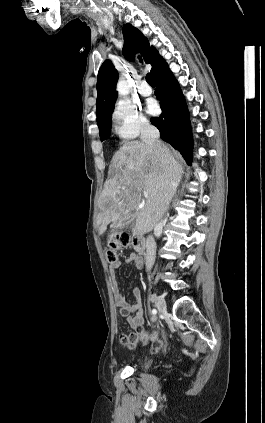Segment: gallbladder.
Returning a JSON list of instances; mask_svg holds the SVG:
<instances>
[{
    "label": "gallbladder",
    "instance_id": "gallbladder-1",
    "mask_svg": "<svg viewBox=\"0 0 265 423\" xmlns=\"http://www.w3.org/2000/svg\"><path fill=\"white\" fill-rule=\"evenodd\" d=\"M134 219H135L134 214L130 215L129 218L120 217L117 221L114 222V227L123 228L125 226H128Z\"/></svg>",
    "mask_w": 265,
    "mask_h": 423
}]
</instances>
